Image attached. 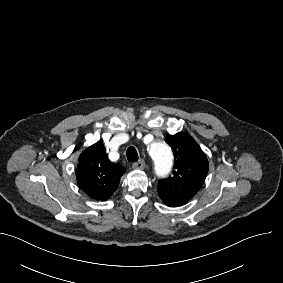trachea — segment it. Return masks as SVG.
I'll return each mask as SVG.
<instances>
[{
  "mask_svg": "<svg viewBox=\"0 0 283 283\" xmlns=\"http://www.w3.org/2000/svg\"><path fill=\"white\" fill-rule=\"evenodd\" d=\"M126 155H127V159H128L129 162H136L139 159L137 150L133 146H130L127 149Z\"/></svg>",
  "mask_w": 283,
  "mask_h": 283,
  "instance_id": "trachea-1",
  "label": "trachea"
}]
</instances>
